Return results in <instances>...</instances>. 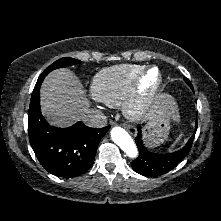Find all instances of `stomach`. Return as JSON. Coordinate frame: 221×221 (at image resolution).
Returning a JSON list of instances; mask_svg holds the SVG:
<instances>
[{"label": "stomach", "instance_id": "stomach-1", "mask_svg": "<svg viewBox=\"0 0 221 221\" xmlns=\"http://www.w3.org/2000/svg\"><path fill=\"white\" fill-rule=\"evenodd\" d=\"M170 99L171 97L167 94H161L157 97L148 122L143 127L144 141L151 148L161 145L169 135L170 116L165 111V107Z\"/></svg>", "mask_w": 221, "mask_h": 221}]
</instances>
